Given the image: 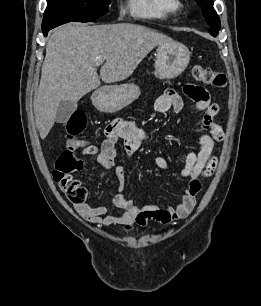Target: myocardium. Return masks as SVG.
<instances>
[{"label": "myocardium", "instance_id": "myocardium-1", "mask_svg": "<svg viewBox=\"0 0 261 306\" xmlns=\"http://www.w3.org/2000/svg\"><path fill=\"white\" fill-rule=\"evenodd\" d=\"M180 0H169V7L171 11H177L181 8Z\"/></svg>", "mask_w": 261, "mask_h": 306}]
</instances>
